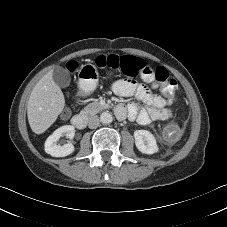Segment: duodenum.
<instances>
[{
    "mask_svg": "<svg viewBox=\"0 0 227 227\" xmlns=\"http://www.w3.org/2000/svg\"><path fill=\"white\" fill-rule=\"evenodd\" d=\"M89 89L86 86V83L84 81H79L78 86H77V94L79 96H85L89 93ZM72 125L79 129V130H84L87 127V118L85 115L78 114L75 115L72 118Z\"/></svg>",
    "mask_w": 227,
    "mask_h": 227,
    "instance_id": "1",
    "label": "duodenum"
}]
</instances>
